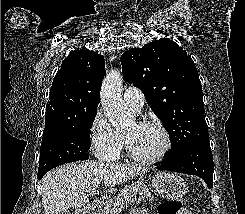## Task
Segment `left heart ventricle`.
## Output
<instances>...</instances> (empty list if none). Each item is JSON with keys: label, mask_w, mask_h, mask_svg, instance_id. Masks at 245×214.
I'll use <instances>...</instances> for the list:
<instances>
[{"label": "left heart ventricle", "mask_w": 245, "mask_h": 214, "mask_svg": "<svg viewBox=\"0 0 245 214\" xmlns=\"http://www.w3.org/2000/svg\"><path fill=\"white\" fill-rule=\"evenodd\" d=\"M123 135L130 148L136 154L144 157L156 155L164 144V137L157 128L140 126L135 122L126 126Z\"/></svg>", "instance_id": "obj_1"}]
</instances>
